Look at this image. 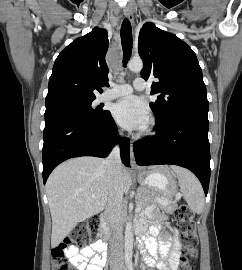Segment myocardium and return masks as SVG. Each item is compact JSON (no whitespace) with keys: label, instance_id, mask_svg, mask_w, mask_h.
<instances>
[{"label":"myocardium","instance_id":"myocardium-1","mask_svg":"<svg viewBox=\"0 0 242 270\" xmlns=\"http://www.w3.org/2000/svg\"><path fill=\"white\" fill-rule=\"evenodd\" d=\"M152 131V126L148 127L147 130L145 131L146 133H150Z\"/></svg>","mask_w":242,"mask_h":270}]
</instances>
